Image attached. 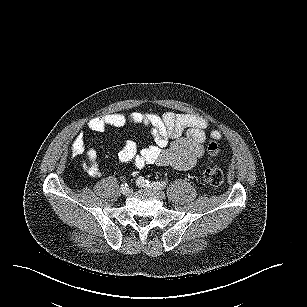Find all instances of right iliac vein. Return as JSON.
Returning a JSON list of instances; mask_svg holds the SVG:
<instances>
[{"mask_svg":"<svg viewBox=\"0 0 307 307\" xmlns=\"http://www.w3.org/2000/svg\"><path fill=\"white\" fill-rule=\"evenodd\" d=\"M131 192V189L127 186V187H121V193L125 196L129 195Z\"/></svg>","mask_w":307,"mask_h":307,"instance_id":"right-iliac-vein-1","label":"right iliac vein"}]
</instances>
